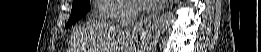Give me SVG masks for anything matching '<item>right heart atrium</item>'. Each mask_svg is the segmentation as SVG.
Returning a JSON list of instances; mask_svg holds the SVG:
<instances>
[{"mask_svg":"<svg viewBox=\"0 0 261 52\" xmlns=\"http://www.w3.org/2000/svg\"><path fill=\"white\" fill-rule=\"evenodd\" d=\"M103 3L117 6V9L113 10L109 16L115 18H132L136 14L135 7L127 0H103Z\"/></svg>","mask_w":261,"mask_h":52,"instance_id":"obj_1","label":"right heart atrium"}]
</instances>
